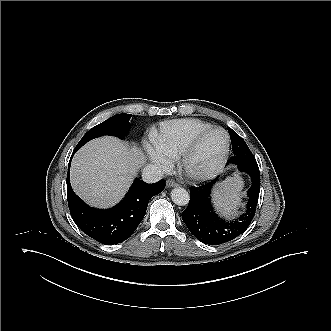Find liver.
Returning <instances> with one entry per match:
<instances>
[{
	"mask_svg": "<svg viewBox=\"0 0 331 331\" xmlns=\"http://www.w3.org/2000/svg\"><path fill=\"white\" fill-rule=\"evenodd\" d=\"M145 160L141 149L115 137L91 140L72 160V188L91 206L111 207L124 196Z\"/></svg>",
	"mask_w": 331,
	"mask_h": 331,
	"instance_id": "liver-1",
	"label": "liver"
}]
</instances>
